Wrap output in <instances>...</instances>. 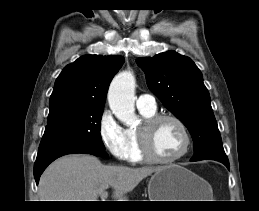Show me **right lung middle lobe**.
<instances>
[{
	"label": "right lung middle lobe",
	"mask_w": 259,
	"mask_h": 211,
	"mask_svg": "<svg viewBox=\"0 0 259 211\" xmlns=\"http://www.w3.org/2000/svg\"><path fill=\"white\" fill-rule=\"evenodd\" d=\"M103 108L73 109L48 118L39 152L65 145L105 149L100 135Z\"/></svg>",
	"instance_id": "1"
}]
</instances>
